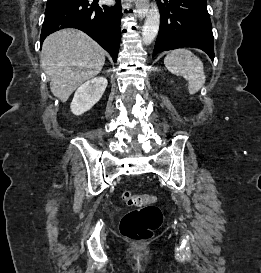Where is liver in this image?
I'll return each mask as SVG.
<instances>
[{"label":"liver","mask_w":261,"mask_h":273,"mask_svg":"<svg viewBox=\"0 0 261 273\" xmlns=\"http://www.w3.org/2000/svg\"><path fill=\"white\" fill-rule=\"evenodd\" d=\"M105 63V51L85 33L65 29L49 35L42 45L40 64L50 78L52 94L62 102Z\"/></svg>","instance_id":"liver-1"}]
</instances>
